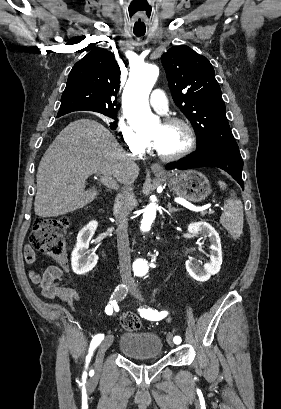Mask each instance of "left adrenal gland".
<instances>
[{"label": "left adrenal gland", "instance_id": "1", "mask_svg": "<svg viewBox=\"0 0 281 409\" xmlns=\"http://www.w3.org/2000/svg\"><path fill=\"white\" fill-rule=\"evenodd\" d=\"M168 211L169 213H175V211H179V209H175V207H172L171 202H169Z\"/></svg>", "mask_w": 281, "mask_h": 409}]
</instances>
